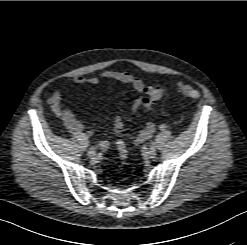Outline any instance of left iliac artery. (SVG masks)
I'll list each match as a JSON object with an SVG mask.
<instances>
[{
    "instance_id": "44dca946",
    "label": "left iliac artery",
    "mask_w": 247,
    "mask_h": 245,
    "mask_svg": "<svg viewBox=\"0 0 247 245\" xmlns=\"http://www.w3.org/2000/svg\"><path fill=\"white\" fill-rule=\"evenodd\" d=\"M160 128H161V130H164V129L166 128V126H165L164 124H162V125L160 126Z\"/></svg>"
}]
</instances>
